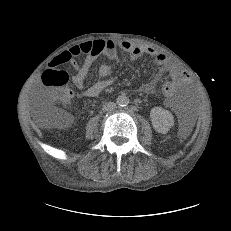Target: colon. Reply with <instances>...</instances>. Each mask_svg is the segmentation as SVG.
<instances>
[{"label":"colon","mask_w":231,"mask_h":231,"mask_svg":"<svg viewBox=\"0 0 231 231\" xmlns=\"http://www.w3.org/2000/svg\"><path fill=\"white\" fill-rule=\"evenodd\" d=\"M58 65L63 64L67 57L61 55ZM47 69L42 76V81L46 86V96L49 103L43 110V122L50 128H61L68 122V115L63 107L69 104L71 93L67 87L69 76L66 71L56 67ZM176 83L172 79H166L161 84V92L171 97L176 92Z\"/></svg>","instance_id":"obj_1"}]
</instances>
